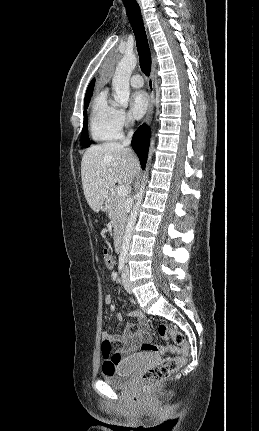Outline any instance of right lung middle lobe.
I'll return each instance as SVG.
<instances>
[{"mask_svg": "<svg viewBox=\"0 0 259 431\" xmlns=\"http://www.w3.org/2000/svg\"><path fill=\"white\" fill-rule=\"evenodd\" d=\"M91 95L92 92L88 93L85 95V99H84V108L87 109L90 99H91ZM81 142H82V146L84 148H87L90 146V140L87 134V111L84 110V125H83V130H82V136H81Z\"/></svg>", "mask_w": 259, "mask_h": 431, "instance_id": "1", "label": "right lung middle lobe"}]
</instances>
